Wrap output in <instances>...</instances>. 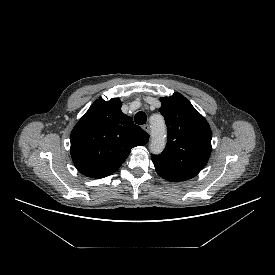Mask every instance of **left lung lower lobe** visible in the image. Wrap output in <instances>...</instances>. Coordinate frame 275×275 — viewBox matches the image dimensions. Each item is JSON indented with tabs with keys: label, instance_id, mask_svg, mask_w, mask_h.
<instances>
[{
	"label": "left lung lower lobe",
	"instance_id": "1",
	"mask_svg": "<svg viewBox=\"0 0 275 275\" xmlns=\"http://www.w3.org/2000/svg\"><path fill=\"white\" fill-rule=\"evenodd\" d=\"M161 177H163L164 179H166V180H168V181L177 182V180L171 179V178H169V177H165V176H161Z\"/></svg>",
	"mask_w": 275,
	"mask_h": 275
}]
</instances>
